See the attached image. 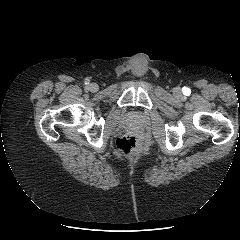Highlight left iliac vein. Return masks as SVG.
<instances>
[{
  "instance_id": "obj_1",
  "label": "left iliac vein",
  "mask_w": 240,
  "mask_h": 240,
  "mask_svg": "<svg viewBox=\"0 0 240 240\" xmlns=\"http://www.w3.org/2000/svg\"><path fill=\"white\" fill-rule=\"evenodd\" d=\"M174 93L177 94V95H179V94H180V90H179V89H175V90H174Z\"/></svg>"
}]
</instances>
